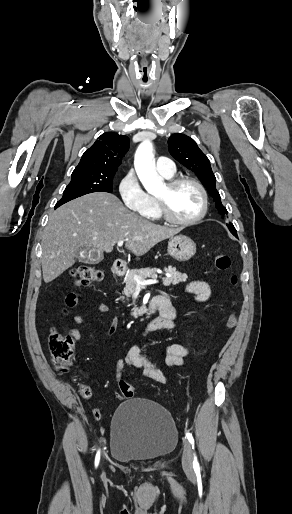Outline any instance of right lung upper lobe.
<instances>
[{"label":"right lung upper lobe","mask_w":292,"mask_h":514,"mask_svg":"<svg viewBox=\"0 0 292 514\" xmlns=\"http://www.w3.org/2000/svg\"><path fill=\"white\" fill-rule=\"evenodd\" d=\"M129 149V138L107 132L87 149L72 174L114 176Z\"/></svg>","instance_id":"1"}]
</instances>
